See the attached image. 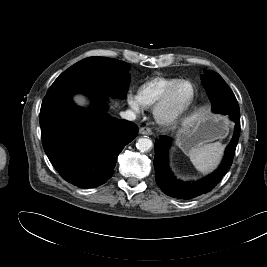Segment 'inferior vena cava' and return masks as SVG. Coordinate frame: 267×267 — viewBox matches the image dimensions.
<instances>
[{
	"label": "inferior vena cava",
	"instance_id": "obj_1",
	"mask_svg": "<svg viewBox=\"0 0 267 267\" xmlns=\"http://www.w3.org/2000/svg\"><path fill=\"white\" fill-rule=\"evenodd\" d=\"M120 116L123 119L129 120V121H134L136 119V114L131 110H126L124 112H121Z\"/></svg>",
	"mask_w": 267,
	"mask_h": 267
}]
</instances>
